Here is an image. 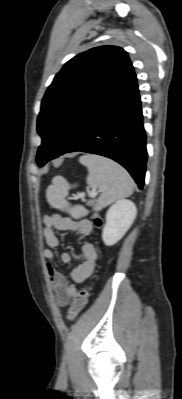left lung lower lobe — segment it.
<instances>
[{"mask_svg": "<svg viewBox=\"0 0 182 399\" xmlns=\"http://www.w3.org/2000/svg\"><path fill=\"white\" fill-rule=\"evenodd\" d=\"M75 151L115 160L129 171L139 188H143L147 150L137 78L95 112L60 155Z\"/></svg>", "mask_w": 182, "mask_h": 399, "instance_id": "1", "label": "left lung lower lobe"}]
</instances>
